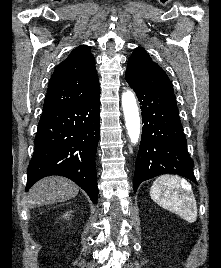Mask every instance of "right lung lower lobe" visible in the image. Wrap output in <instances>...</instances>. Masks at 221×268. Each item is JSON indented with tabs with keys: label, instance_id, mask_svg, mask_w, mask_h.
I'll use <instances>...</instances> for the list:
<instances>
[{
	"label": "right lung lower lobe",
	"instance_id": "1",
	"mask_svg": "<svg viewBox=\"0 0 221 268\" xmlns=\"http://www.w3.org/2000/svg\"><path fill=\"white\" fill-rule=\"evenodd\" d=\"M100 136V92L74 105L43 111L27 169L26 191L39 179L60 175L98 198L95 156Z\"/></svg>",
	"mask_w": 221,
	"mask_h": 268
}]
</instances>
